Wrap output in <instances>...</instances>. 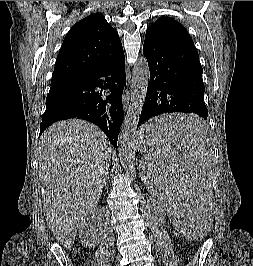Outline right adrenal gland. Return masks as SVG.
Here are the masks:
<instances>
[{
    "label": "right adrenal gland",
    "instance_id": "2a0ac1e0",
    "mask_svg": "<svg viewBox=\"0 0 253 266\" xmlns=\"http://www.w3.org/2000/svg\"><path fill=\"white\" fill-rule=\"evenodd\" d=\"M107 179H108V176L106 177L105 181H104V185L107 184Z\"/></svg>",
    "mask_w": 253,
    "mask_h": 266
}]
</instances>
